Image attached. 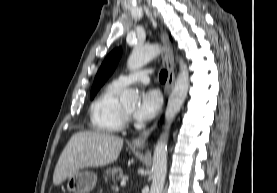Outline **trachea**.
Masks as SVG:
<instances>
[{
	"label": "trachea",
	"instance_id": "trachea-1",
	"mask_svg": "<svg viewBox=\"0 0 277 193\" xmlns=\"http://www.w3.org/2000/svg\"><path fill=\"white\" fill-rule=\"evenodd\" d=\"M167 79V71L166 70H162L159 74V80L161 82H165Z\"/></svg>",
	"mask_w": 277,
	"mask_h": 193
}]
</instances>
